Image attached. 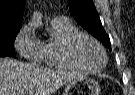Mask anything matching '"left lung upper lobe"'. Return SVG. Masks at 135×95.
Instances as JSON below:
<instances>
[{"mask_svg":"<svg viewBox=\"0 0 135 95\" xmlns=\"http://www.w3.org/2000/svg\"><path fill=\"white\" fill-rule=\"evenodd\" d=\"M75 20L84 29L111 50L110 39L102 27L99 15L92 0H67Z\"/></svg>","mask_w":135,"mask_h":95,"instance_id":"obj_1","label":"left lung upper lobe"}]
</instances>
